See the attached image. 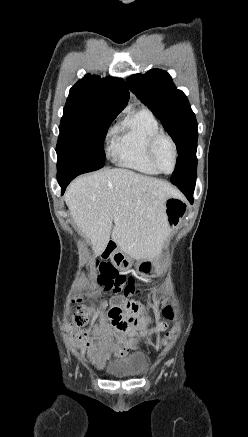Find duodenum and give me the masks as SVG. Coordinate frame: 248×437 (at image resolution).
<instances>
[{"label":"duodenum","instance_id":"duodenum-1","mask_svg":"<svg viewBox=\"0 0 248 437\" xmlns=\"http://www.w3.org/2000/svg\"><path fill=\"white\" fill-rule=\"evenodd\" d=\"M117 251V244L114 241H110V243L102 250V255L104 257H113L115 252Z\"/></svg>","mask_w":248,"mask_h":437}]
</instances>
